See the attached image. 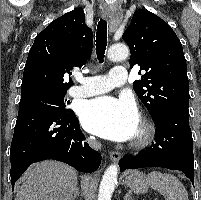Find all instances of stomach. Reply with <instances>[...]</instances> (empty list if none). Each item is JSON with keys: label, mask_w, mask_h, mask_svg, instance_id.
<instances>
[{"label": "stomach", "mask_w": 201, "mask_h": 200, "mask_svg": "<svg viewBox=\"0 0 201 200\" xmlns=\"http://www.w3.org/2000/svg\"><path fill=\"white\" fill-rule=\"evenodd\" d=\"M125 182L135 193H145L148 191V179L142 172H131L126 177Z\"/></svg>", "instance_id": "0dacf381"}]
</instances>
